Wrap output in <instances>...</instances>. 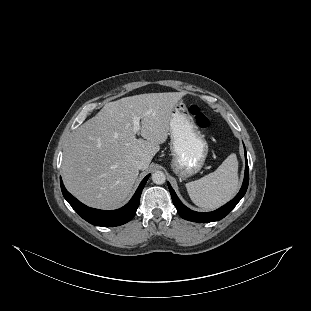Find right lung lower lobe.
I'll use <instances>...</instances> for the list:
<instances>
[{"mask_svg":"<svg viewBox=\"0 0 311 311\" xmlns=\"http://www.w3.org/2000/svg\"><path fill=\"white\" fill-rule=\"evenodd\" d=\"M149 176L150 174L142 180L141 184L128 204L120 209L112 211L89 208L78 201L66 190L61 178L60 185L64 198L83 219L96 226L112 227L122 225L134 217L139 206L140 195Z\"/></svg>","mask_w":311,"mask_h":311,"instance_id":"obj_1","label":"right lung lower lobe"}]
</instances>
